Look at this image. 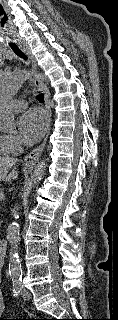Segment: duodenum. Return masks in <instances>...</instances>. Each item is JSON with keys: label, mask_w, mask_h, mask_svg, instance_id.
Masks as SVG:
<instances>
[{"label": "duodenum", "mask_w": 118, "mask_h": 320, "mask_svg": "<svg viewBox=\"0 0 118 320\" xmlns=\"http://www.w3.org/2000/svg\"><path fill=\"white\" fill-rule=\"evenodd\" d=\"M7 250V241L0 240V265L3 266Z\"/></svg>", "instance_id": "obj_1"}]
</instances>
